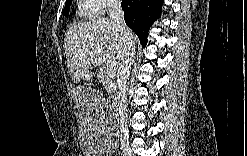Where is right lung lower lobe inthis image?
Here are the masks:
<instances>
[{"label": "right lung lower lobe", "instance_id": "98d812e1", "mask_svg": "<svg viewBox=\"0 0 247 156\" xmlns=\"http://www.w3.org/2000/svg\"><path fill=\"white\" fill-rule=\"evenodd\" d=\"M163 0H122L126 24L136 33L143 47L147 44L149 27L161 16Z\"/></svg>", "mask_w": 247, "mask_h": 156}]
</instances>
